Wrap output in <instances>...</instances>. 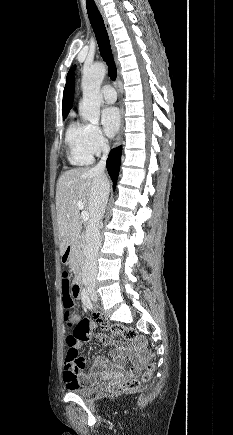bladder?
I'll return each instance as SVG.
<instances>
[{
    "instance_id": "obj_1",
    "label": "bladder",
    "mask_w": 233,
    "mask_h": 435,
    "mask_svg": "<svg viewBox=\"0 0 233 435\" xmlns=\"http://www.w3.org/2000/svg\"><path fill=\"white\" fill-rule=\"evenodd\" d=\"M101 388V385L95 382H90L83 384L81 386L75 387L71 389V393L77 394L80 396H89L96 392H98Z\"/></svg>"
}]
</instances>
